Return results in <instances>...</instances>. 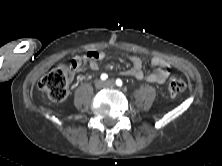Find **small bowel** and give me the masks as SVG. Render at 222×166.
I'll use <instances>...</instances> for the list:
<instances>
[{
  "label": "small bowel",
  "instance_id": "small-bowel-1",
  "mask_svg": "<svg viewBox=\"0 0 222 166\" xmlns=\"http://www.w3.org/2000/svg\"><path fill=\"white\" fill-rule=\"evenodd\" d=\"M127 57L131 63V67L122 72L124 76L134 77L137 80H146L149 83L163 84L170 74V64L158 56H153L148 60L154 71L147 75L143 70L144 59L135 55H128ZM104 58V51H88L84 55L75 56L71 61V68L74 72H81L86 68L96 71L99 69V61Z\"/></svg>",
  "mask_w": 222,
  "mask_h": 166
}]
</instances>
